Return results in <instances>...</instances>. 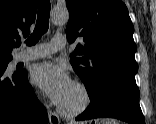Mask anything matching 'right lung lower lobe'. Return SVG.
<instances>
[{
    "instance_id": "98d812e1",
    "label": "right lung lower lobe",
    "mask_w": 156,
    "mask_h": 124,
    "mask_svg": "<svg viewBox=\"0 0 156 124\" xmlns=\"http://www.w3.org/2000/svg\"><path fill=\"white\" fill-rule=\"evenodd\" d=\"M0 63V124H48L46 109L27 81L26 71L5 75Z\"/></svg>"
}]
</instances>
